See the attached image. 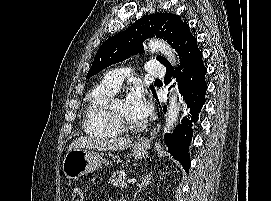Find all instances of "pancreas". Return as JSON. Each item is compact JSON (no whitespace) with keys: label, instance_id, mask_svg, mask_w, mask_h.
Wrapping results in <instances>:
<instances>
[{"label":"pancreas","instance_id":"pancreas-1","mask_svg":"<svg viewBox=\"0 0 271 201\" xmlns=\"http://www.w3.org/2000/svg\"><path fill=\"white\" fill-rule=\"evenodd\" d=\"M117 175V176H116ZM110 183L115 187L127 188L128 182L124 174L120 173L118 175V171L114 172L113 175L109 179Z\"/></svg>","mask_w":271,"mask_h":201}]
</instances>
